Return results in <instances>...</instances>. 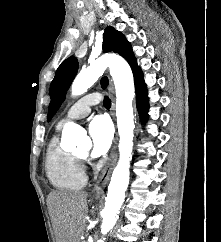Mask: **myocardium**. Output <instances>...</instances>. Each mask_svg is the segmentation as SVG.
<instances>
[{
	"label": "myocardium",
	"instance_id": "myocardium-1",
	"mask_svg": "<svg viewBox=\"0 0 221 242\" xmlns=\"http://www.w3.org/2000/svg\"><path fill=\"white\" fill-rule=\"evenodd\" d=\"M79 159H85V156H80V155H78L77 156Z\"/></svg>",
	"mask_w": 221,
	"mask_h": 242
}]
</instances>
